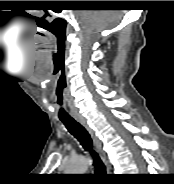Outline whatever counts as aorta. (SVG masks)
I'll return each mask as SVG.
<instances>
[{
	"label": "aorta",
	"mask_w": 174,
	"mask_h": 184,
	"mask_svg": "<svg viewBox=\"0 0 174 184\" xmlns=\"http://www.w3.org/2000/svg\"><path fill=\"white\" fill-rule=\"evenodd\" d=\"M88 168V161L85 158L74 159L67 167L68 174H84Z\"/></svg>",
	"instance_id": "762f6f07"
}]
</instances>
